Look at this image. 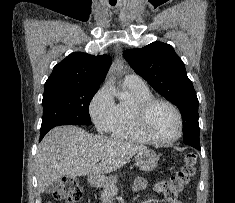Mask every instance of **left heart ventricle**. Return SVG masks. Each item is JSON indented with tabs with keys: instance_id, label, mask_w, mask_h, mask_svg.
Wrapping results in <instances>:
<instances>
[{
	"instance_id": "b2bd125f",
	"label": "left heart ventricle",
	"mask_w": 235,
	"mask_h": 203,
	"mask_svg": "<svg viewBox=\"0 0 235 203\" xmlns=\"http://www.w3.org/2000/svg\"><path fill=\"white\" fill-rule=\"evenodd\" d=\"M147 124L150 132L161 139L172 138L178 132V121L174 111L162 103L156 104L150 110Z\"/></svg>"
}]
</instances>
